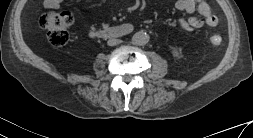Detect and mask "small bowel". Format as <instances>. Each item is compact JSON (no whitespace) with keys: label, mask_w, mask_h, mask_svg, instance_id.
Returning a JSON list of instances; mask_svg holds the SVG:
<instances>
[{"label":"small bowel","mask_w":253,"mask_h":138,"mask_svg":"<svg viewBox=\"0 0 253 138\" xmlns=\"http://www.w3.org/2000/svg\"><path fill=\"white\" fill-rule=\"evenodd\" d=\"M190 5V4H189ZM192 5V4H191ZM196 7L200 13H202L205 16L204 20H198L197 18H192V22H194L197 25L203 24L205 21H211L212 15L210 12V8L208 5L202 1L196 0ZM180 23L183 27H187V22L184 19L180 20Z\"/></svg>","instance_id":"c3829d8e"}]
</instances>
